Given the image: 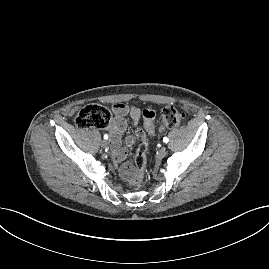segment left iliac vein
Segmentation results:
<instances>
[{"label": "left iliac vein", "instance_id": "1", "mask_svg": "<svg viewBox=\"0 0 269 269\" xmlns=\"http://www.w3.org/2000/svg\"><path fill=\"white\" fill-rule=\"evenodd\" d=\"M166 153H167L166 149L165 148H161L157 152V157L158 158H163V157H165Z\"/></svg>", "mask_w": 269, "mask_h": 269}]
</instances>
